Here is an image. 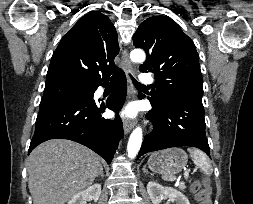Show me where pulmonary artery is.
I'll return each instance as SVG.
<instances>
[{
  "mask_svg": "<svg viewBox=\"0 0 253 204\" xmlns=\"http://www.w3.org/2000/svg\"><path fill=\"white\" fill-rule=\"evenodd\" d=\"M140 81L143 85L147 86L153 84L154 78L149 73H143L140 77Z\"/></svg>",
  "mask_w": 253,
  "mask_h": 204,
  "instance_id": "obj_1",
  "label": "pulmonary artery"
}]
</instances>
